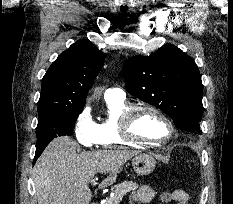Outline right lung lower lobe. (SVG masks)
Returning <instances> with one entry per match:
<instances>
[{"instance_id":"obj_1","label":"right lung lower lobe","mask_w":233,"mask_h":204,"mask_svg":"<svg viewBox=\"0 0 233 204\" xmlns=\"http://www.w3.org/2000/svg\"><path fill=\"white\" fill-rule=\"evenodd\" d=\"M46 145H37L36 147V153H35V157H34V163L36 162L37 158L41 155V153L43 152V150L45 149Z\"/></svg>"}]
</instances>
